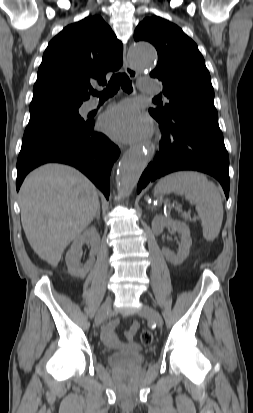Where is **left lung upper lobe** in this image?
I'll use <instances>...</instances> for the list:
<instances>
[{
	"instance_id": "obj_1",
	"label": "left lung upper lobe",
	"mask_w": 253,
	"mask_h": 413,
	"mask_svg": "<svg viewBox=\"0 0 253 413\" xmlns=\"http://www.w3.org/2000/svg\"><path fill=\"white\" fill-rule=\"evenodd\" d=\"M134 39L152 43L158 52V63L150 76L162 83L168 103L149 109L155 119L169 121L186 114L218 119L211 77L194 41L177 25L158 16L145 18Z\"/></svg>"
}]
</instances>
